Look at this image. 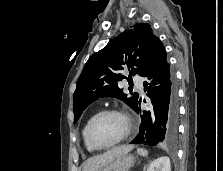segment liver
I'll use <instances>...</instances> for the list:
<instances>
[{"label": "liver", "instance_id": "liver-1", "mask_svg": "<svg viewBox=\"0 0 223 171\" xmlns=\"http://www.w3.org/2000/svg\"><path fill=\"white\" fill-rule=\"evenodd\" d=\"M132 149L133 146L131 145L115 147L103 154L89 158L83 166V171H98L100 168L111 162L115 157L127 154Z\"/></svg>", "mask_w": 223, "mask_h": 171}]
</instances>
